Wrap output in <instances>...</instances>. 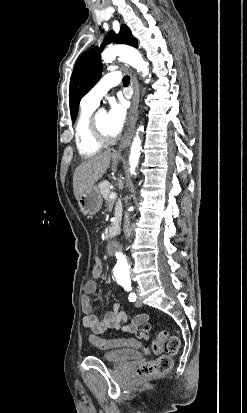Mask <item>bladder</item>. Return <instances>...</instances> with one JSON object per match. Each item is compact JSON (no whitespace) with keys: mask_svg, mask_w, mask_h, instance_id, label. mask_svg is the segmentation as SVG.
I'll list each match as a JSON object with an SVG mask.
<instances>
[{"mask_svg":"<svg viewBox=\"0 0 247 413\" xmlns=\"http://www.w3.org/2000/svg\"><path fill=\"white\" fill-rule=\"evenodd\" d=\"M141 358V352L132 348L111 349L107 353L101 354V360L107 362L127 363L129 360Z\"/></svg>","mask_w":247,"mask_h":413,"instance_id":"31cf9c89","label":"bladder"}]
</instances>
